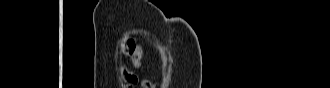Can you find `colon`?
<instances>
[{
  "instance_id": "obj_1",
  "label": "colon",
  "mask_w": 330,
  "mask_h": 88,
  "mask_svg": "<svg viewBox=\"0 0 330 88\" xmlns=\"http://www.w3.org/2000/svg\"><path fill=\"white\" fill-rule=\"evenodd\" d=\"M134 49V42L129 40L126 44V52L131 53Z\"/></svg>"
}]
</instances>
